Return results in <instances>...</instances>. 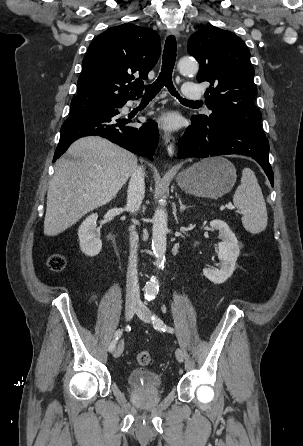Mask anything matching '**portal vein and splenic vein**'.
Here are the masks:
<instances>
[{"label": "portal vein and splenic vein", "instance_id": "18ae733b", "mask_svg": "<svg viewBox=\"0 0 303 446\" xmlns=\"http://www.w3.org/2000/svg\"><path fill=\"white\" fill-rule=\"evenodd\" d=\"M226 207L229 210H234L235 209V207L232 204H228V205H226Z\"/></svg>", "mask_w": 303, "mask_h": 446}]
</instances>
